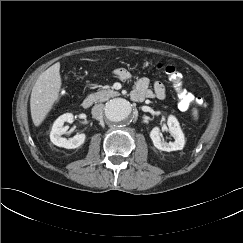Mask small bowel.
<instances>
[{
  "label": "small bowel",
  "mask_w": 243,
  "mask_h": 243,
  "mask_svg": "<svg viewBox=\"0 0 243 243\" xmlns=\"http://www.w3.org/2000/svg\"><path fill=\"white\" fill-rule=\"evenodd\" d=\"M113 74L122 80H129L131 78V73L125 68H117L113 71ZM150 82L148 78H140L131 97L135 101H141L143 99L158 98L164 99L166 96L165 86L160 82H155L153 87L150 88Z\"/></svg>",
  "instance_id": "1"
}]
</instances>
